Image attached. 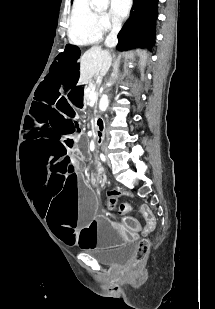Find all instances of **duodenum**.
<instances>
[{"instance_id": "1", "label": "duodenum", "mask_w": 215, "mask_h": 309, "mask_svg": "<svg viewBox=\"0 0 215 309\" xmlns=\"http://www.w3.org/2000/svg\"><path fill=\"white\" fill-rule=\"evenodd\" d=\"M95 140L97 145L102 146L105 143V135H104V120L103 118L95 119ZM155 223V221H154Z\"/></svg>"}]
</instances>
